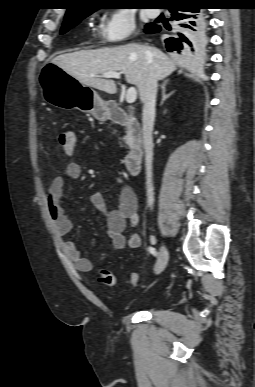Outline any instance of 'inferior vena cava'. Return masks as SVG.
I'll return each mask as SVG.
<instances>
[{
  "label": "inferior vena cava",
  "instance_id": "602c4592",
  "mask_svg": "<svg viewBox=\"0 0 255 387\" xmlns=\"http://www.w3.org/2000/svg\"><path fill=\"white\" fill-rule=\"evenodd\" d=\"M158 89V79L151 72L144 89L140 93L143 102V144L145 149V168H146V191L147 203L150 208L154 204V187L152 181V161H153V125L155 120L156 95Z\"/></svg>",
  "mask_w": 255,
  "mask_h": 387
}]
</instances>
